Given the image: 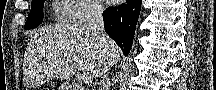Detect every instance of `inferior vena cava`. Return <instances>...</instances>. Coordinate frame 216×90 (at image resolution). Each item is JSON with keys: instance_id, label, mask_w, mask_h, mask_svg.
<instances>
[{"instance_id": "1", "label": "inferior vena cava", "mask_w": 216, "mask_h": 90, "mask_svg": "<svg viewBox=\"0 0 216 90\" xmlns=\"http://www.w3.org/2000/svg\"><path fill=\"white\" fill-rule=\"evenodd\" d=\"M105 6L100 4H92L89 8V18L87 20V30L97 36L100 46V64L96 72H94L96 78H100L98 82L99 90H110L111 82L109 78V70L113 66L111 58V50L109 46L110 38L107 36L104 28L103 12H105Z\"/></svg>"}]
</instances>
